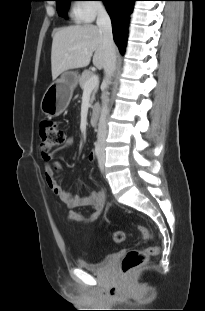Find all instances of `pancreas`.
I'll list each match as a JSON object with an SVG mask.
<instances>
[{"mask_svg": "<svg viewBox=\"0 0 205 311\" xmlns=\"http://www.w3.org/2000/svg\"><path fill=\"white\" fill-rule=\"evenodd\" d=\"M94 74L91 71H84L81 76H79L78 81L81 89L84 90L86 82L93 76ZM98 90V86H96L92 91V96L90 99V103L92 104L95 100V94Z\"/></svg>", "mask_w": 205, "mask_h": 311, "instance_id": "1", "label": "pancreas"}]
</instances>
